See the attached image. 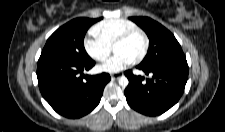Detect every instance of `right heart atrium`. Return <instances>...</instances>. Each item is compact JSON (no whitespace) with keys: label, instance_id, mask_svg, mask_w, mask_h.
<instances>
[{"label":"right heart atrium","instance_id":"1","mask_svg":"<svg viewBox=\"0 0 225 132\" xmlns=\"http://www.w3.org/2000/svg\"><path fill=\"white\" fill-rule=\"evenodd\" d=\"M86 53L95 61L104 62L106 61L112 52V48L97 37L87 36L83 42Z\"/></svg>","mask_w":225,"mask_h":132}]
</instances>
